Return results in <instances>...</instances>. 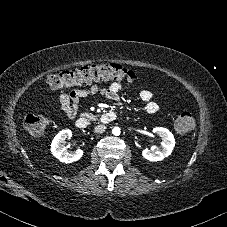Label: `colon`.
<instances>
[{
	"label": "colon",
	"mask_w": 227,
	"mask_h": 227,
	"mask_svg": "<svg viewBox=\"0 0 227 227\" xmlns=\"http://www.w3.org/2000/svg\"><path fill=\"white\" fill-rule=\"evenodd\" d=\"M100 79H116L128 84L136 82L137 75L129 69L115 63H100L51 74L46 82L53 90L68 89L89 84ZM24 125L32 135H41L49 125V119L42 115L25 116ZM194 126V117L189 112L181 113L174 122V128L180 133L190 131Z\"/></svg>",
	"instance_id": "5ec220e1"
}]
</instances>
